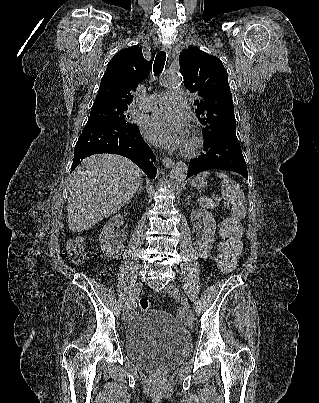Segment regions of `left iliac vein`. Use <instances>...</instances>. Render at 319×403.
<instances>
[{"instance_id": "4c4485c4", "label": "left iliac vein", "mask_w": 319, "mask_h": 403, "mask_svg": "<svg viewBox=\"0 0 319 403\" xmlns=\"http://www.w3.org/2000/svg\"><path fill=\"white\" fill-rule=\"evenodd\" d=\"M166 291L167 293H169L171 296H173L174 298L181 300V302L183 303V305L185 306V308L188 310V314H187V324L188 327L190 329H193L195 326V319H194V315L192 314V312L189 310V304L188 302L182 300V296L180 294L179 289L173 284V283H169L166 286Z\"/></svg>"}]
</instances>
